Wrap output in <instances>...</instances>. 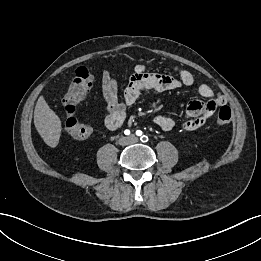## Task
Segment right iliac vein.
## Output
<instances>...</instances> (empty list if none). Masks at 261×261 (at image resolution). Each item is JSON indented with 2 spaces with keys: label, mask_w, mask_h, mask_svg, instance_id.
I'll list each match as a JSON object with an SVG mask.
<instances>
[{
  "label": "right iliac vein",
  "mask_w": 261,
  "mask_h": 261,
  "mask_svg": "<svg viewBox=\"0 0 261 261\" xmlns=\"http://www.w3.org/2000/svg\"><path fill=\"white\" fill-rule=\"evenodd\" d=\"M127 138L126 137H122L121 139H120V143L121 144H125V143H127Z\"/></svg>",
  "instance_id": "obj_1"
}]
</instances>
